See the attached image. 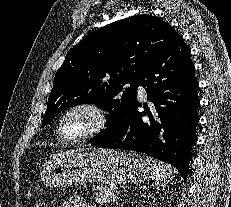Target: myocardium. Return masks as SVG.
I'll return each instance as SVG.
<instances>
[{"mask_svg": "<svg viewBox=\"0 0 231 207\" xmlns=\"http://www.w3.org/2000/svg\"><path fill=\"white\" fill-rule=\"evenodd\" d=\"M76 110H86L90 112L94 118V125L86 134L80 137H69L65 133L64 123L68 115ZM108 126V117L106 112L93 102H78L72 104L64 110L59 119L58 132L60 137L70 143H81L88 141L101 134Z\"/></svg>", "mask_w": 231, "mask_h": 207, "instance_id": "f54148a6", "label": "myocardium"}]
</instances>
